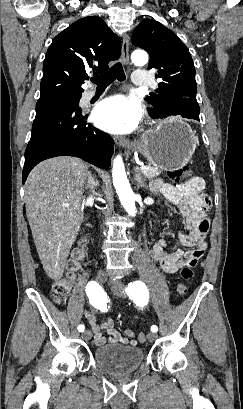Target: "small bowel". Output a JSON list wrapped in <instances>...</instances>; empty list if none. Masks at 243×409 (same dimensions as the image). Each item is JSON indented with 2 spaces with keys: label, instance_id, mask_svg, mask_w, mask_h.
Masks as SVG:
<instances>
[{
  "label": "small bowel",
  "instance_id": "obj_1",
  "mask_svg": "<svg viewBox=\"0 0 243 409\" xmlns=\"http://www.w3.org/2000/svg\"><path fill=\"white\" fill-rule=\"evenodd\" d=\"M154 192L161 193L166 199L178 205L185 217L189 233L178 232L181 245L192 249L183 251L174 248L171 252L165 250L166 242L158 241L151 249V255L158 266L167 274H175L184 266L194 267L205 254L209 229L208 211L211 200L204 194V182L194 178L188 182L172 185L162 180L152 184ZM85 317L94 332V343L97 346L113 343H122L135 346L133 331L125 330L122 336L115 328L111 316L102 324L96 323L95 314L91 310L85 311ZM105 334L109 335L106 337Z\"/></svg>",
  "mask_w": 243,
  "mask_h": 409
}]
</instances>
